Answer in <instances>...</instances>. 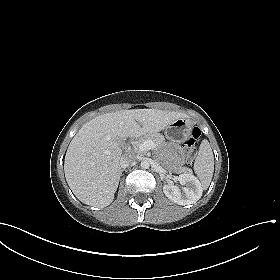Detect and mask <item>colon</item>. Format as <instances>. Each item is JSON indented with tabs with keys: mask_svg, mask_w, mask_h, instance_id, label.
<instances>
[{
	"mask_svg": "<svg viewBox=\"0 0 280 280\" xmlns=\"http://www.w3.org/2000/svg\"><path fill=\"white\" fill-rule=\"evenodd\" d=\"M201 135L198 128H194L190 137L184 143L185 159L187 162H192L196 156V143Z\"/></svg>",
	"mask_w": 280,
	"mask_h": 280,
	"instance_id": "obj_1",
	"label": "colon"
}]
</instances>
